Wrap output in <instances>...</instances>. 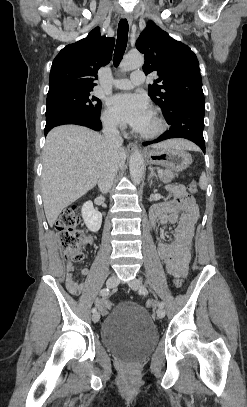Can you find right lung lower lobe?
Returning <instances> with one entry per match:
<instances>
[{
	"mask_svg": "<svg viewBox=\"0 0 247 407\" xmlns=\"http://www.w3.org/2000/svg\"><path fill=\"white\" fill-rule=\"evenodd\" d=\"M99 116H88L75 112H63L46 117L45 136L55 126L77 124L99 131L102 128Z\"/></svg>",
	"mask_w": 247,
	"mask_h": 407,
	"instance_id": "obj_1",
	"label": "right lung lower lobe"
}]
</instances>
